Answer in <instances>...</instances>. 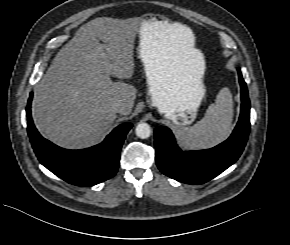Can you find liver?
I'll return each mask as SVG.
<instances>
[{
	"instance_id": "obj_1",
	"label": "liver",
	"mask_w": 290,
	"mask_h": 245,
	"mask_svg": "<svg viewBox=\"0 0 290 245\" xmlns=\"http://www.w3.org/2000/svg\"><path fill=\"white\" fill-rule=\"evenodd\" d=\"M160 28L162 42L181 66L195 68L194 55L200 51L191 30L168 22ZM140 30L136 21L112 18L92 20L77 30L34 90L32 116L44 137L65 148L87 147L100 141L116 119L114 102L124 104L122 115L131 113L137 89L122 79L134 73V41ZM111 75L120 80L112 82Z\"/></svg>"
}]
</instances>
